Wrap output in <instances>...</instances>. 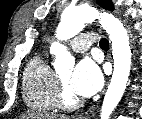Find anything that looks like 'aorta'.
<instances>
[{
	"mask_svg": "<svg viewBox=\"0 0 142 119\" xmlns=\"http://www.w3.org/2000/svg\"><path fill=\"white\" fill-rule=\"evenodd\" d=\"M95 20L106 30L112 44L114 71L101 108V119H109L123 96L130 74L131 48L127 30L112 14L100 13L85 6H69L62 12L56 38L60 41L68 40L77 35L86 23ZM50 53L55 56L54 66L57 72H65L74 67V58L59 42L51 44Z\"/></svg>",
	"mask_w": 142,
	"mask_h": 119,
	"instance_id": "aorta-1",
	"label": "aorta"
}]
</instances>
